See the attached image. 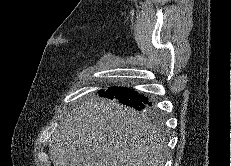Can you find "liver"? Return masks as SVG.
Returning a JSON list of instances; mask_svg holds the SVG:
<instances>
[{
    "mask_svg": "<svg viewBox=\"0 0 231 166\" xmlns=\"http://www.w3.org/2000/svg\"><path fill=\"white\" fill-rule=\"evenodd\" d=\"M49 147L54 166H162L166 140L135 109L97 97L67 115Z\"/></svg>",
    "mask_w": 231,
    "mask_h": 166,
    "instance_id": "obj_1",
    "label": "liver"
}]
</instances>
